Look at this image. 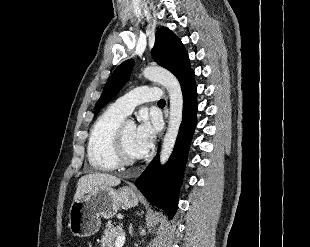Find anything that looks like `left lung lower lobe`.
<instances>
[{
    "label": "left lung lower lobe",
    "instance_id": "0a47b994",
    "mask_svg": "<svg viewBox=\"0 0 310 247\" xmlns=\"http://www.w3.org/2000/svg\"><path fill=\"white\" fill-rule=\"evenodd\" d=\"M183 94V116L174 151L168 163L160 167L158 155L148 165L135 185L155 206L165 210L171 220L178 204V191L183 176L188 150L196 126L197 87L194 71L180 81Z\"/></svg>",
    "mask_w": 310,
    "mask_h": 247
}]
</instances>
